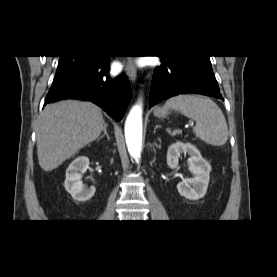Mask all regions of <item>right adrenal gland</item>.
Here are the masks:
<instances>
[{
	"instance_id": "right-adrenal-gland-1",
	"label": "right adrenal gland",
	"mask_w": 277,
	"mask_h": 277,
	"mask_svg": "<svg viewBox=\"0 0 277 277\" xmlns=\"http://www.w3.org/2000/svg\"><path fill=\"white\" fill-rule=\"evenodd\" d=\"M103 131H104V133L98 138V141L101 140L102 138H104V136H106L107 139L110 140V137H109V135L107 133V125L104 127Z\"/></svg>"
}]
</instances>
